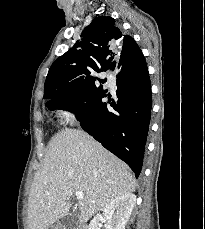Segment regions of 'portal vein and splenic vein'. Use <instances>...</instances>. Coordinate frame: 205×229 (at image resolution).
<instances>
[{"label": "portal vein and splenic vein", "instance_id": "portal-vein-and-splenic-vein-1", "mask_svg": "<svg viewBox=\"0 0 205 229\" xmlns=\"http://www.w3.org/2000/svg\"><path fill=\"white\" fill-rule=\"evenodd\" d=\"M75 195L78 200H82L84 198V194L81 191L75 192Z\"/></svg>", "mask_w": 205, "mask_h": 229}]
</instances>
